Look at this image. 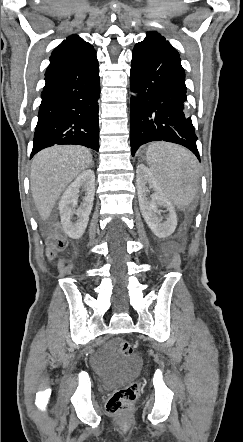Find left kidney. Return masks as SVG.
I'll list each match as a JSON object with an SVG mask.
<instances>
[{
    "mask_svg": "<svg viewBox=\"0 0 243 442\" xmlns=\"http://www.w3.org/2000/svg\"><path fill=\"white\" fill-rule=\"evenodd\" d=\"M136 173L138 200L142 216L157 237L166 238L175 231L177 226V214L172 207V202L160 189L153 174L145 165H138ZM146 184H149L155 190V193L151 195V200L147 198ZM159 207H166L169 211V215L164 222H162V217L159 216Z\"/></svg>",
    "mask_w": 243,
    "mask_h": 442,
    "instance_id": "5707ae66",
    "label": "left kidney"
}]
</instances>
